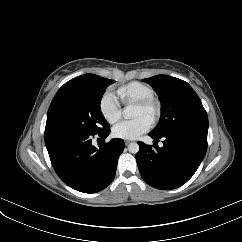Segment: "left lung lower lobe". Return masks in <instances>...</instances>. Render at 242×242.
Listing matches in <instances>:
<instances>
[{
	"label": "left lung lower lobe",
	"mask_w": 242,
	"mask_h": 242,
	"mask_svg": "<svg viewBox=\"0 0 242 242\" xmlns=\"http://www.w3.org/2000/svg\"><path fill=\"white\" fill-rule=\"evenodd\" d=\"M154 141L159 138L149 133ZM163 147L138 142V169L150 186L170 190L185 184L196 172L207 150V130L185 129L163 136Z\"/></svg>",
	"instance_id": "obj_1"
}]
</instances>
